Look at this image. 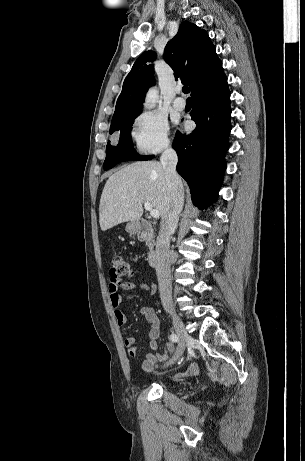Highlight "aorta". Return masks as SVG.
<instances>
[{"label": "aorta", "mask_w": 305, "mask_h": 461, "mask_svg": "<svg viewBox=\"0 0 305 461\" xmlns=\"http://www.w3.org/2000/svg\"><path fill=\"white\" fill-rule=\"evenodd\" d=\"M158 100V92L156 89H151L145 99L144 107L146 109H152Z\"/></svg>", "instance_id": "obj_1"}]
</instances>
